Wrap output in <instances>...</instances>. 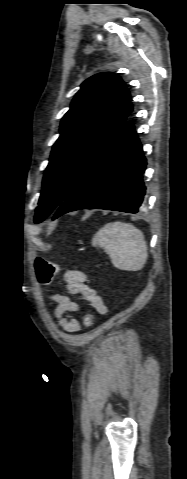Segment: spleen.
I'll return each mask as SVG.
<instances>
[{
  "label": "spleen",
  "mask_w": 187,
  "mask_h": 479,
  "mask_svg": "<svg viewBox=\"0 0 187 479\" xmlns=\"http://www.w3.org/2000/svg\"><path fill=\"white\" fill-rule=\"evenodd\" d=\"M92 245L102 247L114 267L120 270H141L148 258L143 233L132 224L121 221L100 228L92 238Z\"/></svg>",
  "instance_id": "1"
}]
</instances>
